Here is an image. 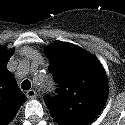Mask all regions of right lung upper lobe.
I'll list each match as a JSON object with an SVG mask.
<instances>
[{
  "label": "right lung upper lobe",
  "instance_id": "obj_1",
  "mask_svg": "<svg viewBox=\"0 0 125 125\" xmlns=\"http://www.w3.org/2000/svg\"><path fill=\"white\" fill-rule=\"evenodd\" d=\"M13 50L0 47V125H7L16 115L27 97L7 69Z\"/></svg>",
  "mask_w": 125,
  "mask_h": 125
}]
</instances>
